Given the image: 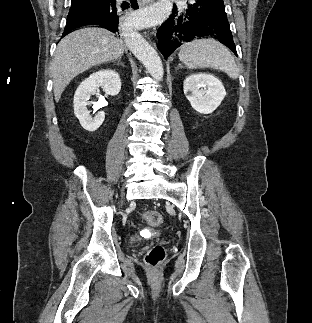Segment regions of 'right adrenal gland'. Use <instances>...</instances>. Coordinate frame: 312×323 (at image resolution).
Listing matches in <instances>:
<instances>
[{
    "instance_id": "obj_1",
    "label": "right adrenal gland",
    "mask_w": 312,
    "mask_h": 323,
    "mask_svg": "<svg viewBox=\"0 0 312 323\" xmlns=\"http://www.w3.org/2000/svg\"><path fill=\"white\" fill-rule=\"evenodd\" d=\"M121 60H122V58H118L117 64H121V66H124V64H122Z\"/></svg>"
}]
</instances>
